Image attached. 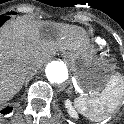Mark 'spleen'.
I'll return each instance as SVG.
<instances>
[{
  "instance_id": "obj_1",
  "label": "spleen",
  "mask_w": 124,
  "mask_h": 124,
  "mask_svg": "<svg viewBox=\"0 0 124 124\" xmlns=\"http://www.w3.org/2000/svg\"><path fill=\"white\" fill-rule=\"evenodd\" d=\"M116 84H118L117 77L106 86L96 99L76 98L74 100L75 108L91 121L97 122L105 119L107 117L106 114L113 112L119 104L121 90L116 87Z\"/></svg>"
}]
</instances>
